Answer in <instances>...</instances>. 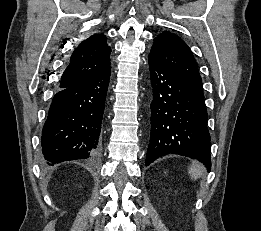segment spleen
<instances>
[{"mask_svg":"<svg viewBox=\"0 0 261 231\" xmlns=\"http://www.w3.org/2000/svg\"><path fill=\"white\" fill-rule=\"evenodd\" d=\"M204 170V167L200 164H192L191 167L189 168V173L191 178L197 179L200 177V175L202 174Z\"/></svg>","mask_w":261,"mask_h":231,"instance_id":"obj_1","label":"spleen"}]
</instances>
